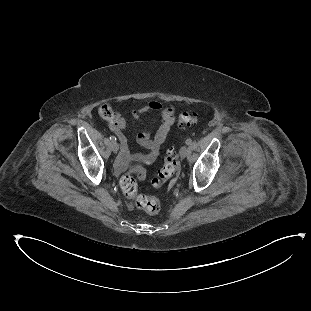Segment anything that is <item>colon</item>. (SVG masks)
Wrapping results in <instances>:
<instances>
[{
  "instance_id": "1",
  "label": "colon",
  "mask_w": 311,
  "mask_h": 311,
  "mask_svg": "<svg viewBox=\"0 0 311 311\" xmlns=\"http://www.w3.org/2000/svg\"><path fill=\"white\" fill-rule=\"evenodd\" d=\"M99 114L103 118L111 116L109 107L102 105L99 107ZM199 122L197 113L182 112L178 116L177 125L179 127L194 126ZM179 171V163L176 159L174 149L168 148L162 167L158 171V175L151 181L153 188H161L171 177ZM133 172L137 173L140 178H144L146 171L143 167L136 166L131 171L125 172L120 180V186L123 194L132 199L135 205L146 213L154 214L160 210V199L154 196L145 195L139 192V185L133 176Z\"/></svg>"
}]
</instances>
